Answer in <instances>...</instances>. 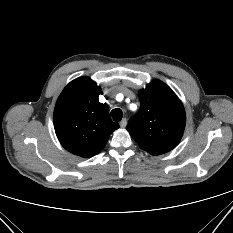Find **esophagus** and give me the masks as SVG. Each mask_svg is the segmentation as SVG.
<instances>
[{
  "label": "esophagus",
  "mask_w": 233,
  "mask_h": 233,
  "mask_svg": "<svg viewBox=\"0 0 233 233\" xmlns=\"http://www.w3.org/2000/svg\"><path fill=\"white\" fill-rule=\"evenodd\" d=\"M126 125H127V119L124 118V119H122V120L120 121V127H121V128H125Z\"/></svg>",
  "instance_id": "obj_1"
}]
</instances>
